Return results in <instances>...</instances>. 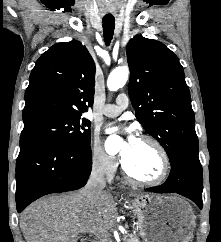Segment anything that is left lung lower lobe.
Wrapping results in <instances>:
<instances>
[{
    "label": "left lung lower lobe",
    "instance_id": "0a47b994",
    "mask_svg": "<svg viewBox=\"0 0 221 242\" xmlns=\"http://www.w3.org/2000/svg\"><path fill=\"white\" fill-rule=\"evenodd\" d=\"M171 172L166 182L160 186L147 188L156 193H178L202 209V166L198 153H184L171 164Z\"/></svg>",
    "mask_w": 221,
    "mask_h": 242
}]
</instances>
